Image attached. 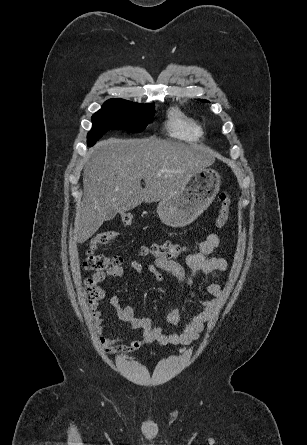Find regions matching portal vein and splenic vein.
<instances>
[{"mask_svg":"<svg viewBox=\"0 0 307 445\" xmlns=\"http://www.w3.org/2000/svg\"><path fill=\"white\" fill-rule=\"evenodd\" d=\"M160 172H165V170H160Z\"/></svg>","mask_w":307,"mask_h":445,"instance_id":"18ae733b","label":"portal vein and splenic vein"}]
</instances>
